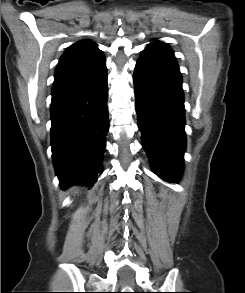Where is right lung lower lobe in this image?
I'll return each instance as SVG.
<instances>
[{
    "mask_svg": "<svg viewBox=\"0 0 245 293\" xmlns=\"http://www.w3.org/2000/svg\"><path fill=\"white\" fill-rule=\"evenodd\" d=\"M107 68L52 95L51 146L62 188L93 186L102 172L108 121Z\"/></svg>",
    "mask_w": 245,
    "mask_h": 293,
    "instance_id": "1",
    "label": "right lung lower lobe"
}]
</instances>
